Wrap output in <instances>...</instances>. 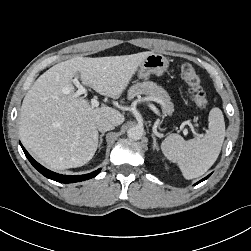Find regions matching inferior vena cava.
Masks as SVG:
<instances>
[{
	"label": "inferior vena cava",
	"instance_id": "1",
	"mask_svg": "<svg viewBox=\"0 0 251 251\" xmlns=\"http://www.w3.org/2000/svg\"><path fill=\"white\" fill-rule=\"evenodd\" d=\"M96 126L100 132H105L114 129L116 124L107 118H100L97 120Z\"/></svg>",
	"mask_w": 251,
	"mask_h": 251
}]
</instances>
